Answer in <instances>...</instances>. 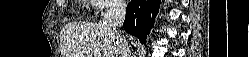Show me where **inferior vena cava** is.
<instances>
[{
    "mask_svg": "<svg viewBox=\"0 0 249 57\" xmlns=\"http://www.w3.org/2000/svg\"><path fill=\"white\" fill-rule=\"evenodd\" d=\"M126 15V3L122 0H115L105 11L102 25L111 32L117 39L122 57H131L128 42L123 37L119 28L122 26Z\"/></svg>",
    "mask_w": 249,
    "mask_h": 57,
    "instance_id": "1",
    "label": "inferior vena cava"
}]
</instances>
